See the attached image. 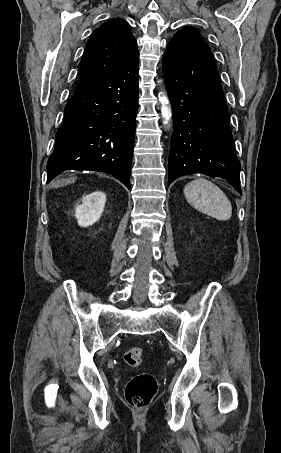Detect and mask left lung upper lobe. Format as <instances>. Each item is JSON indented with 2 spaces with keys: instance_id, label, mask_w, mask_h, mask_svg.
<instances>
[{
  "instance_id": "left-lung-upper-lobe-1",
  "label": "left lung upper lobe",
  "mask_w": 281,
  "mask_h": 453,
  "mask_svg": "<svg viewBox=\"0 0 281 453\" xmlns=\"http://www.w3.org/2000/svg\"><path fill=\"white\" fill-rule=\"evenodd\" d=\"M174 37L183 38L190 42H196L202 38L195 29L190 28V27H185V28L181 29L174 35Z\"/></svg>"
}]
</instances>
